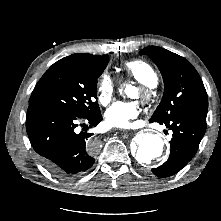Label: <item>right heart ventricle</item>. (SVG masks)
Masks as SVG:
<instances>
[{"mask_svg": "<svg viewBox=\"0 0 221 221\" xmlns=\"http://www.w3.org/2000/svg\"><path fill=\"white\" fill-rule=\"evenodd\" d=\"M126 75L136 81L153 87L157 83V76L153 68L144 60L136 59L126 62L123 65Z\"/></svg>", "mask_w": 221, "mask_h": 221, "instance_id": "obj_1", "label": "right heart ventricle"}]
</instances>
